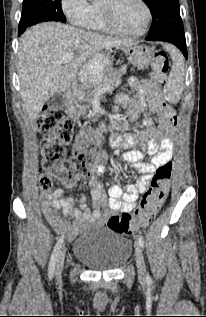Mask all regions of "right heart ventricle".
Returning <instances> with one entry per match:
<instances>
[{
	"instance_id": "right-heart-ventricle-1",
	"label": "right heart ventricle",
	"mask_w": 206,
	"mask_h": 317,
	"mask_svg": "<svg viewBox=\"0 0 206 317\" xmlns=\"http://www.w3.org/2000/svg\"><path fill=\"white\" fill-rule=\"evenodd\" d=\"M89 29L100 31V32H108L107 26L104 21L103 13L101 10V5L94 4L93 12L90 18L89 24L87 26Z\"/></svg>"
}]
</instances>
